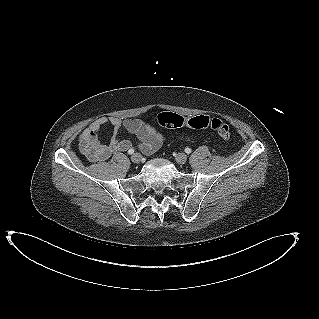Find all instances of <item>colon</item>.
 <instances>
[{"label":"colon","mask_w":319,"mask_h":319,"mask_svg":"<svg viewBox=\"0 0 319 319\" xmlns=\"http://www.w3.org/2000/svg\"><path fill=\"white\" fill-rule=\"evenodd\" d=\"M152 123L165 128H178L184 125L193 129H211L221 138L227 140L232 136L230 127L221 119L199 115L189 119L173 112H161L155 116Z\"/></svg>","instance_id":"colon-1"}]
</instances>
